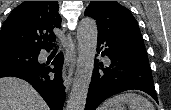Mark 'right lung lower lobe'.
Wrapping results in <instances>:
<instances>
[{
  "label": "right lung lower lobe",
  "instance_id": "right-lung-lower-lobe-1",
  "mask_svg": "<svg viewBox=\"0 0 171 110\" xmlns=\"http://www.w3.org/2000/svg\"><path fill=\"white\" fill-rule=\"evenodd\" d=\"M51 48L46 49L50 51ZM63 54L59 53L49 64H37L0 71V78L18 77L29 82L44 98L51 110H62L65 100V87L62 80ZM54 73V74H53Z\"/></svg>",
  "mask_w": 171,
  "mask_h": 110
}]
</instances>
